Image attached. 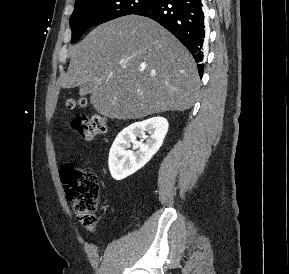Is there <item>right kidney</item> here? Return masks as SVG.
<instances>
[{
    "instance_id": "ca27d5eb",
    "label": "right kidney",
    "mask_w": 289,
    "mask_h": 274,
    "mask_svg": "<svg viewBox=\"0 0 289 274\" xmlns=\"http://www.w3.org/2000/svg\"><path fill=\"white\" fill-rule=\"evenodd\" d=\"M168 127L167 119L157 116L124 128L109 152L111 176L115 180H122L141 169L161 147ZM137 138L143 139L138 141ZM131 144L133 150H129Z\"/></svg>"
}]
</instances>
